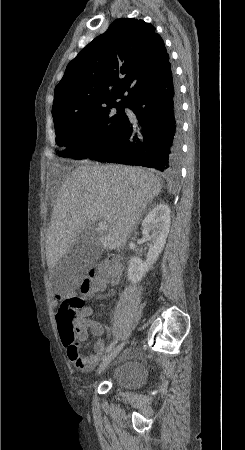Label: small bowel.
Listing matches in <instances>:
<instances>
[{
	"instance_id": "1",
	"label": "small bowel",
	"mask_w": 245,
	"mask_h": 450,
	"mask_svg": "<svg viewBox=\"0 0 245 450\" xmlns=\"http://www.w3.org/2000/svg\"><path fill=\"white\" fill-rule=\"evenodd\" d=\"M101 295L102 297H112L114 295L113 289H106L105 286L96 287L93 290L86 293V296L92 297L95 295ZM77 306V305H76ZM93 316V310L91 308H82L79 311V320L84 324L86 333L78 332V335L76 336V339H78V342L73 343H66L63 342V345L67 349V356L68 358L73 361V363L80 369L86 370L90 369L97 361L99 355L103 354L105 351V344L103 340L101 339L103 333H104V326L97 321L91 320V317ZM87 331H90L94 336H96L98 339L95 343L94 349L95 353H92L88 355L87 357H82L80 355V344L81 342L86 338ZM78 357L80 360H78Z\"/></svg>"
}]
</instances>
